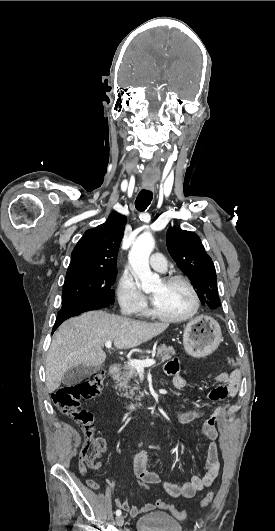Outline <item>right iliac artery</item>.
<instances>
[{"instance_id":"82829eb1","label":"right iliac artery","mask_w":275,"mask_h":531,"mask_svg":"<svg viewBox=\"0 0 275 531\" xmlns=\"http://www.w3.org/2000/svg\"><path fill=\"white\" fill-rule=\"evenodd\" d=\"M116 515H117V516H120V515H121V510H117V511H116Z\"/></svg>"}]
</instances>
